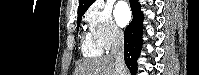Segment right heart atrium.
<instances>
[{
	"instance_id": "right-heart-atrium-1",
	"label": "right heart atrium",
	"mask_w": 199,
	"mask_h": 75,
	"mask_svg": "<svg viewBox=\"0 0 199 75\" xmlns=\"http://www.w3.org/2000/svg\"><path fill=\"white\" fill-rule=\"evenodd\" d=\"M86 21L91 35L102 49H110L122 41L123 33L107 9L92 8L87 14Z\"/></svg>"
}]
</instances>
